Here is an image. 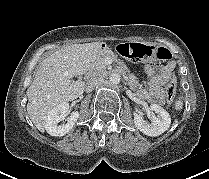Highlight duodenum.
<instances>
[{
    "label": "duodenum",
    "instance_id": "410a0bca",
    "mask_svg": "<svg viewBox=\"0 0 209 179\" xmlns=\"http://www.w3.org/2000/svg\"><path fill=\"white\" fill-rule=\"evenodd\" d=\"M92 76V70H89L86 75H85V79L88 80L90 77Z\"/></svg>",
    "mask_w": 209,
    "mask_h": 179
}]
</instances>
